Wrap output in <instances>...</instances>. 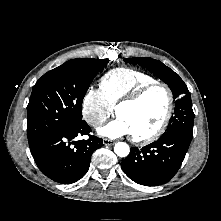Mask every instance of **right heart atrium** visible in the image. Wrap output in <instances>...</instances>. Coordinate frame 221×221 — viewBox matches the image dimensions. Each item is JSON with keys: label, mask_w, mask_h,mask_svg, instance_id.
<instances>
[{"label": "right heart atrium", "mask_w": 221, "mask_h": 221, "mask_svg": "<svg viewBox=\"0 0 221 221\" xmlns=\"http://www.w3.org/2000/svg\"><path fill=\"white\" fill-rule=\"evenodd\" d=\"M113 107L100 89L89 87L82 99L81 113L83 119L93 128H98L111 116Z\"/></svg>", "instance_id": "d8ad5b80"}]
</instances>
